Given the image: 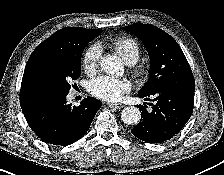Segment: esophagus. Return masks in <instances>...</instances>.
<instances>
[{"mask_svg": "<svg viewBox=\"0 0 224 175\" xmlns=\"http://www.w3.org/2000/svg\"><path fill=\"white\" fill-rule=\"evenodd\" d=\"M108 106L110 108H116V109H121L124 107V105L121 103H108Z\"/></svg>", "mask_w": 224, "mask_h": 175, "instance_id": "34e87169", "label": "esophagus"}]
</instances>
